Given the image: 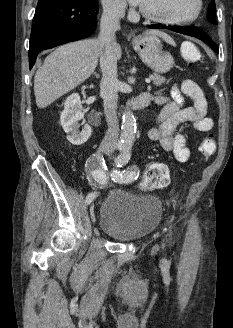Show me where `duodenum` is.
<instances>
[{"mask_svg": "<svg viewBox=\"0 0 233 328\" xmlns=\"http://www.w3.org/2000/svg\"><path fill=\"white\" fill-rule=\"evenodd\" d=\"M152 101L149 93H142L128 102L127 107L131 110H139L147 107Z\"/></svg>", "mask_w": 233, "mask_h": 328, "instance_id": "duodenum-1", "label": "duodenum"}]
</instances>
